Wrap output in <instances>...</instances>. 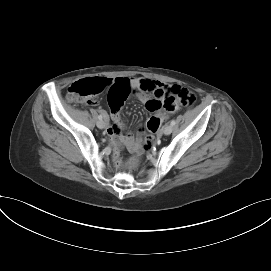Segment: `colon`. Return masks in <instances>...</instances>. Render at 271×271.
Here are the masks:
<instances>
[{"label": "colon", "instance_id": "obj_1", "mask_svg": "<svg viewBox=\"0 0 271 271\" xmlns=\"http://www.w3.org/2000/svg\"><path fill=\"white\" fill-rule=\"evenodd\" d=\"M126 79V78H125ZM107 80L105 78H89L74 82L67 91V97L70 101H77L86 104H92L94 98L106 89ZM158 97L162 99L165 108L170 109L173 106L180 104L185 107H190L195 103L196 97L190 90L180 87L171 86L163 92L158 93ZM123 104V103H122ZM161 121L158 118L151 117L147 123V129L150 133L155 132ZM154 144L152 135H147L141 141L139 149H150ZM118 160L117 154H115ZM138 162L137 157H133L129 161L130 166H135Z\"/></svg>", "mask_w": 271, "mask_h": 271}]
</instances>
